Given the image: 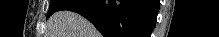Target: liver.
<instances>
[{"instance_id":"6515ba94","label":"liver","mask_w":219,"mask_h":37,"mask_svg":"<svg viewBox=\"0 0 219 37\" xmlns=\"http://www.w3.org/2000/svg\"><path fill=\"white\" fill-rule=\"evenodd\" d=\"M50 37H97L94 26L81 15L64 10L58 11L48 20Z\"/></svg>"}]
</instances>
